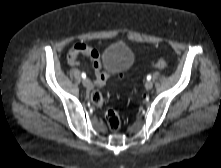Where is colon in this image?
Instances as JSON below:
<instances>
[{"label":"colon","instance_id":"obj_1","mask_svg":"<svg viewBox=\"0 0 221 168\" xmlns=\"http://www.w3.org/2000/svg\"><path fill=\"white\" fill-rule=\"evenodd\" d=\"M154 66L158 69H164L167 66V63L165 60L160 59L154 64ZM90 100L93 105L98 106V107L102 106L104 103L103 96L98 91H94L91 93ZM105 119H106L107 126L110 130L116 131L120 128L121 119H120L119 114L115 110L108 108L105 111Z\"/></svg>","mask_w":221,"mask_h":168}]
</instances>
